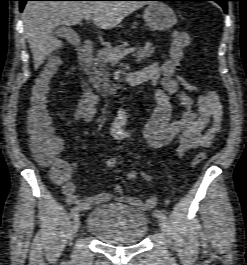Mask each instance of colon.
Returning <instances> with one entry per match:
<instances>
[{"label":"colon","instance_id":"obj_1","mask_svg":"<svg viewBox=\"0 0 247 265\" xmlns=\"http://www.w3.org/2000/svg\"><path fill=\"white\" fill-rule=\"evenodd\" d=\"M191 44V36L187 32L177 31L173 34L168 60L175 68V78L182 89L188 92L198 93L196 87L188 83L178 71L184 58L185 50ZM61 60L58 56L50 58L38 77L30 87L29 109L27 113V132L29 149L36 161L51 168L54 179L65 178L69 173V165L66 161L58 158L62 150V141L57 137L49 123L47 113V94L50 83L60 68ZM222 130L221 124L217 132ZM205 158V153H198L192 160V166H197ZM106 165L114 169L117 166V158L109 157Z\"/></svg>","mask_w":247,"mask_h":265}]
</instances>
